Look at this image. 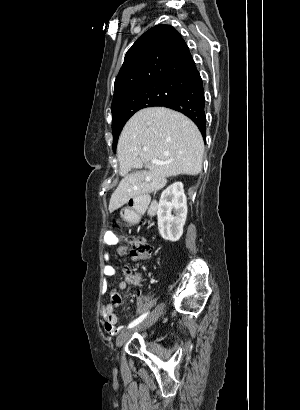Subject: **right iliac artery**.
<instances>
[{"instance_id": "1", "label": "right iliac artery", "mask_w": 300, "mask_h": 410, "mask_svg": "<svg viewBox=\"0 0 300 410\" xmlns=\"http://www.w3.org/2000/svg\"><path fill=\"white\" fill-rule=\"evenodd\" d=\"M147 315H148V312L145 313V314H143V315H141L139 318L135 319L134 321H132V322L128 325V328H132V327L138 325L139 323H141V322L147 317Z\"/></svg>"}]
</instances>
